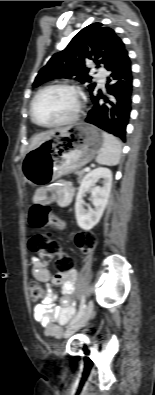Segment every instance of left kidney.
<instances>
[{
    "instance_id": "5707ae66",
    "label": "left kidney",
    "mask_w": 155,
    "mask_h": 395,
    "mask_svg": "<svg viewBox=\"0 0 155 395\" xmlns=\"http://www.w3.org/2000/svg\"><path fill=\"white\" fill-rule=\"evenodd\" d=\"M103 179L102 187H94L95 181ZM112 185V172L108 168L99 167L87 173L82 179L75 202V216L77 224L83 230L92 229L101 219L108 203ZM87 191L92 193L94 209L84 208L83 198Z\"/></svg>"
}]
</instances>
